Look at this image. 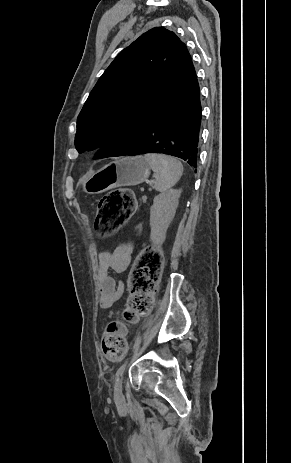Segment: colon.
<instances>
[{"instance_id":"obj_1","label":"colon","mask_w":291,"mask_h":463,"mask_svg":"<svg viewBox=\"0 0 291 463\" xmlns=\"http://www.w3.org/2000/svg\"><path fill=\"white\" fill-rule=\"evenodd\" d=\"M135 208L134 195L127 188L105 194L98 203L96 230L100 234L116 231L128 221ZM162 265V253L154 247H147L138 255L128 279L129 299L123 315L125 321L135 322L150 311ZM125 349L124 322H110L102 337L103 354L117 361L123 357Z\"/></svg>"}]
</instances>
